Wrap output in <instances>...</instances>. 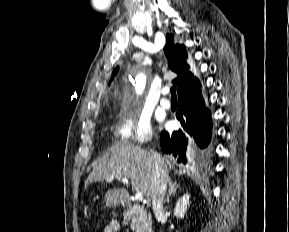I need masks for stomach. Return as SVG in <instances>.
<instances>
[{
    "label": "stomach",
    "instance_id": "stomach-1",
    "mask_svg": "<svg viewBox=\"0 0 289 232\" xmlns=\"http://www.w3.org/2000/svg\"><path fill=\"white\" fill-rule=\"evenodd\" d=\"M120 199H121V197L119 196L118 193H116L114 191H110L106 195L105 202H106V205H108V206H114L117 203H119Z\"/></svg>",
    "mask_w": 289,
    "mask_h": 232
}]
</instances>
